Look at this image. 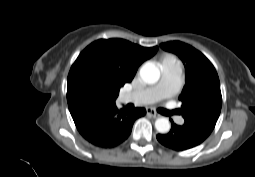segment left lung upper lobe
<instances>
[{"label": "left lung upper lobe", "mask_w": 255, "mask_h": 177, "mask_svg": "<svg viewBox=\"0 0 255 177\" xmlns=\"http://www.w3.org/2000/svg\"><path fill=\"white\" fill-rule=\"evenodd\" d=\"M160 47L178 55L185 65L186 84L179 97L184 125L209 136L222 106L220 82L214 66L201 52L180 41L162 43Z\"/></svg>", "instance_id": "left-lung-upper-lobe-1"}]
</instances>
